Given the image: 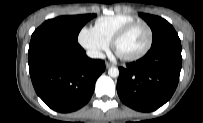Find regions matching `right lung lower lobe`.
<instances>
[{"mask_svg":"<svg viewBox=\"0 0 203 123\" xmlns=\"http://www.w3.org/2000/svg\"><path fill=\"white\" fill-rule=\"evenodd\" d=\"M29 72L37 95L51 109L72 112L91 98L105 62L90 59L77 42L49 36L31 38Z\"/></svg>","mask_w":203,"mask_h":123,"instance_id":"1","label":"right lung lower lobe"}]
</instances>
